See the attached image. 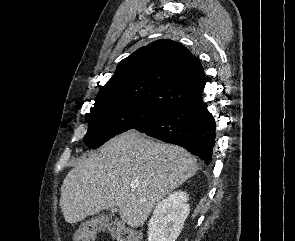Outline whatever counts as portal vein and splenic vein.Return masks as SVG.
Returning a JSON list of instances; mask_svg holds the SVG:
<instances>
[{
	"label": "portal vein and splenic vein",
	"mask_w": 295,
	"mask_h": 241,
	"mask_svg": "<svg viewBox=\"0 0 295 241\" xmlns=\"http://www.w3.org/2000/svg\"><path fill=\"white\" fill-rule=\"evenodd\" d=\"M132 188H136V185L134 184V185H132Z\"/></svg>",
	"instance_id": "obj_1"
}]
</instances>
